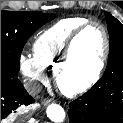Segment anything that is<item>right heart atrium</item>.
Returning <instances> with one entry per match:
<instances>
[{"label":"right heart atrium","mask_w":123,"mask_h":123,"mask_svg":"<svg viewBox=\"0 0 123 123\" xmlns=\"http://www.w3.org/2000/svg\"><path fill=\"white\" fill-rule=\"evenodd\" d=\"M19 67L22 74L32 81L44 82L46 80L45 69L33 55L21 54L19 57Z\"/></svg>","instance_id":"obj_1"}]
</instances>
